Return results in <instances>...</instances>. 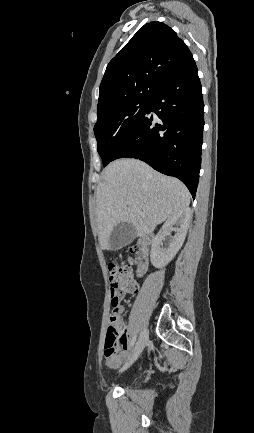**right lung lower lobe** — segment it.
Masks as SVG:
<instances>
[{"instance_id":"right-lung-lower-lobe-1","label":"right lung lower lobe","mask_w":254,"mask_h":433,"mask_svg":"<svg viewBox=\"0 0 254 433\" xmlns=\"http://www.w3.org/2000/svg\"><path fill=\"white\" fill-rule=\"evenodd\" d=\"M203 127L201 83L192 60L159 88L112 161L124 157L140 159L155 170L180 179L195 198Z\"/></svg>"}]
</instances>
